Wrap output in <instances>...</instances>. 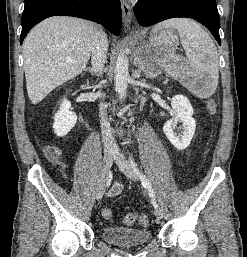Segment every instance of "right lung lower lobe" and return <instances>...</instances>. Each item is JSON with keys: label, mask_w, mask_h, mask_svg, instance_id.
<instances>
[{"label": "right lung lower lobe", "mask_w": 247, "mask_h": 257, "mask_svg": "<svg viewBox=\"0 0 247 257\" xmlns=\"http://www.w3.org/2000/svg\"><path fill=\"white\" fill-rule=\"evenodd\" d=\"M54 15L88 19L103 25L114 35L121 31L119 0H25L20 44L33 26Z\"/></svg>", "instance_id": "98d812e1"}]
</instances>
